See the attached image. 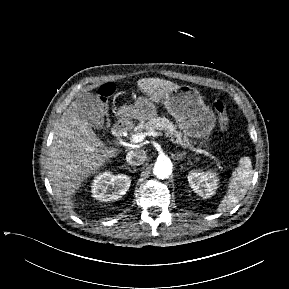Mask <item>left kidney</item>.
I'll list each match as a JSON object with an SVG mask.
<instances>
[{"mask_svg":"<svg viewBox=\"0 0 289 289\" xmlns=\"http://www.w3.org/2000/svg\"><path fill=\"white\" fill-rule=\"evenodd\" d=\"M188 182L195 193L203 198H210L218 188V178L212 171L193 170L188 174Z\"/></svg>","mask_w":289,"mask_h":289,"instance_id":"1","label":"left kidney"}]
</instances>
